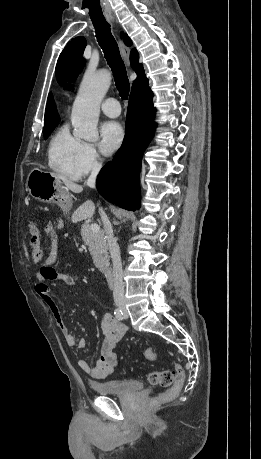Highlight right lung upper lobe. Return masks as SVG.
<instances>
[{"mask_svg": "<svg viewBox=\"0 0 261 459\" xmlns=\"http://www.w3.org/2000/svg\"><path fill=\"white\" fill-rule=\"evenodd\" d=\"M121 37L124 38L125 44L127 46H131L132 43L130 39L128 38L127 35H121ZM130 61H131V66L135 70L137 74V79L133 82L132 86V92L131 94L140 92L142 90L148 89V79L145 76L144 73V68L142 64H139V55L136 49H132L130 53ZM44 125L45 124H53V123H58L59 121V115L57 113V109L52 97V94H49L48 96V101H47V106L45 110V118H44Z\"/></svg>", "mask_w": 261, "mask_h": 459, "instance_id": "cb5924a9", "label": "right lung upper lobe"}]
</instances>
